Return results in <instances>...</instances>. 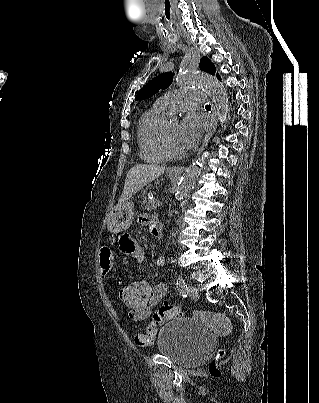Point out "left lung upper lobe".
Wrapping results in <instances>:
<instances>
[{
  "label": "left lung upper lobe",
  "instance_id": "5c2ea615",
  "mask_svg": "<svg viewBox=\"0 0 319 403\" xmlns=\"http://www.w3.org/2000/svg\"><path fill=\"white\" fill-rule=\"evenodd\" d=\"M201 70L208 72L210 74H215L216 68L214 64L207 58L203 57L200 61ZM173 81V73L167 72L162 73L152 80H150L137 94L136 100H142L152 97L154 94L158 93L159 90H164L168 88Z\"/></svg>",
  "mask_w": 319,
  "mask_h": 403
}]
</instances>
